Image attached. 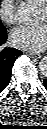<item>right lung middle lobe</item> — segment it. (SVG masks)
<instances>
[{"instance_id": "dd1d6c3e", "label": "right lung middle lobe", "mask_w": 47, "mask_h": 129, "mask_svg": "<svg viewBox=\"0 0 47 129\" xmlns=\"http://www.w3.org/2000/svg\"><path fill=\"white\" fill-rule=\"evenodd\" d=\"M5 31H6V29H5L4 25L0 22V34Z\"/></svg>"}]
</instances>
